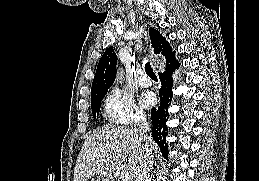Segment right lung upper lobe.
<instances>
[{
    "label": "right lung upper lobe",
    "instance_id": "1",
    "mask_svg": "<svg viewBox=\"0 0 259 181\" xmlns=\"http://www.w3.org/2000/svg\"><path fill=\"white\" fill-rule=\"evenodd\" d=\"M150 39L155 54H162L166 61L174 55L172 48L159 31L150 28ZM115 48L109 47L102 55L91 88V98L107 93L116 77L117 57Z\"/></svg>",
    "mask_w": 259,
    "mask_h": 181
}]
</instances>
